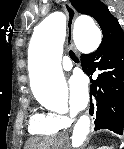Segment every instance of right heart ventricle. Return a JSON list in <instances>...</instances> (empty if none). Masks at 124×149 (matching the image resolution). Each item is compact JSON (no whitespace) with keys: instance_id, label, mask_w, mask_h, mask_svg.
Here are the masks:
<instances>
[{"instance_id":"e07e8e85","label":"right heart ventricle","mask_w":124,"mask_h":149,"mask_svg":"<svg viewBox=\"0 0 124 149\" xmlns=\"http://www.w3.org/2000/svg\"><path fill=\"white\" fill-rule=\"evenodd\" d=\"M64 127L57 115L50 112H37L30 117L28 130L35 136L52 137L60 133Z\"/></svg>"}]
</instances>
